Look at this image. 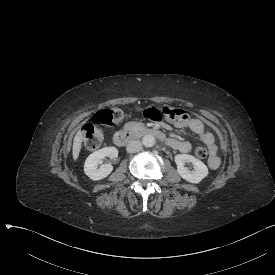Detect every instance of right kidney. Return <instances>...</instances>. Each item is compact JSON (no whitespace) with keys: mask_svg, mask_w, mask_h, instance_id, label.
Segmentation results:
<instances>
[{"mask_svg":"<svg viewBox=\"0 0 275 275\" xmlns=\"http://www.w3.org/2000/svg\"><path fill=\"white\" fill-rule=\"evenodd\" d=\"M109 156L110 158H116L118 156V150L116 147H104L92 153L85 161L84 170L86 175L92 181H100L108 177L112 171L113 166L111 164H107L98 168V165L102 163V160Z\"/></svg>","mask_w":275,"mask_h":275,"instance_id":"right-kidney-1","label":"right kidney"}]
</instances>
